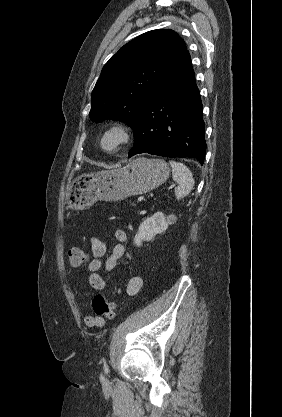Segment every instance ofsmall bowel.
Returning a JSON list of instances; mask_svg holds the SVG:
<instances>
[{
  "label": "small bowel",
  "instance_id": "c3829d8e",
  "mask_svg": "<svg viewBox=\"0 0 282 417\" xmlns=\"http://www.w3.org/2000/svg\"><path fill=\"white\" fill-rule=\"evenodd\" d=\"M114 238L118 244L113 248L110 256L106 255V245L97 236L90 237L91 251L93 259L88 263L89 285L94 290H103L106 285L105 275L111 272L117 265L120 258L125 257L128 261L133 260L132 254L126 248L128 239L127 233L122 228L114 230ZM143 286V279L140 275L130 278L126 286L128 296L136 295ZM84 322L89 327H103L105 319L99 315H87Z\"/></svg>",
  "mask_w": 282,
  "mask_h": 417
}]
</instances>
